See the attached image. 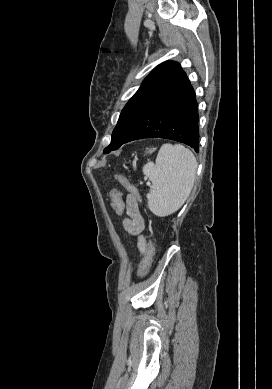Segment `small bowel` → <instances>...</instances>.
<instances>
[{"label": "small bowel", "instance_id": "obj_1", "mask_svg": "<svg viewBox=\"0 0 272 389\" xmlns=\"http://www.w3.org/2000/svg\"><path fill=\"white\" fill-rule=\"evenodd\" d=\"M126 217L123 220L125 230L138 239V249L142 255L146 250V241L143 237L145 222L141 215L138 199L133 195H128L125 200Z\"/></svg>", "mask_w": 272, "mask_h": 389}]
</instances>
